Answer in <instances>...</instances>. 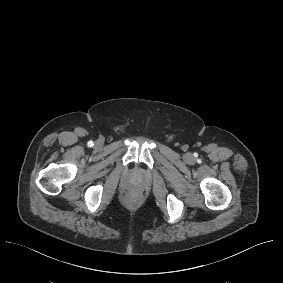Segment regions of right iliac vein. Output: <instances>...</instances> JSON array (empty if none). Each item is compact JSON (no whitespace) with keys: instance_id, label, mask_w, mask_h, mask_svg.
I'll return each mask as SVG.
<instances>
[{"instance_id":"obj_1","label":"right iliac vein","mask_w":283,"mask_h":283,"mask_svg":"<svg viewBox=\"0 0 283 283\" xmlns=\"http://www.w3.org/2000/svg\"><path fill=\"white\" fill-rule=\"evenodd\" d=\"M94 146H95L96 148L101 147V141H96L95 144H94Z\"/></svg>"}]
</instances>
